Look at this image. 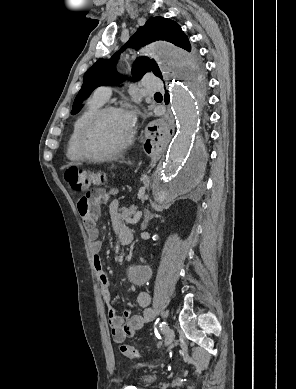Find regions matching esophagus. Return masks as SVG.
I'll return each instance as SVG.
<instances>
[{
    "label": "esophagus",
    "mask_w": 296,
    "mask_h": 389,
    "mask_svg": "<svg viewBox=\"0 0 296 389\" xmlns=\"http://www.w3.org/2000/svg\"><path fill=\"white\" fill-rule=\"evenodd\" d=\"M145 127L148 131L149 136L155 138L163 133L166 127V122L164 118H161L158 121H155L152 118H147L145 122Z\"/></svg>",
    "instance_id": "esophagus-1"
}]
</instances>
